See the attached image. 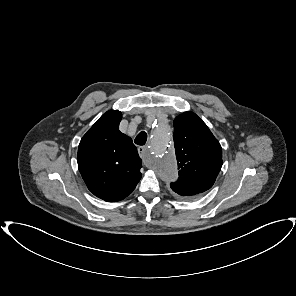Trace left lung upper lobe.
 Returning <instances> with one entry per match:
<instances>
[{"mask_svg": "<svg viewBox=\"0 0 296 296\" xmlns=\"http://www.w3.org/2000/svg\"><path fill=\"white\" fill-rule=\"evenodd\" d=\"M173 125L179 179L170 187L177 197L193 200L213 186L222 167V148L193 112L180 114Z\"/></svg>", "mask_w": 296, "mask_h": 296, "instance_id": "1", "label": "left lung upper lobe"}]
</instances>
